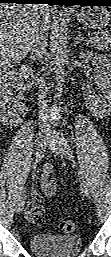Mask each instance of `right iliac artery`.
<instances>
[{"label": "right iliac artery", "mask_w": 111, "mask_h": 257, "mask_svg": "<svg viewBox=\"0 0 111 257\" xmlns=\"http://www.w3.org/2000/svg\"><path fill=\"white\" fill-rule=\"evenodd\" d=\"M36 163L35 165L33 166V172H32V176L34 174V171L36 169ZM29 185H30V180L25 184V186L23 187L22 189V192H21V196H20V199H26V196H27V191H28V188H29Z\"/></svg>", "instance_id": "obj_1"}]
</instances>
